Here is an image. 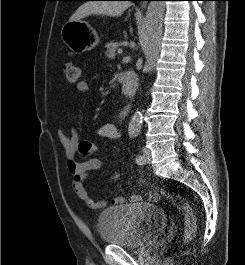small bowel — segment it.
Returning <instances> with one entry per match:
<instances>
[{"label":"small bowel","instance_id":"obj_1","mask_svg":"<svg viewBox=\"0 0 245 265\" xmlns=\"http://www.w3.org/2000/svg\"><path fill=\"white\" fill-rule=\"evenodd\" d=\"M78 92L85 93L89 91V85L86 81H79L76 84ZM97 136L109 140H115L120 137V132L117 126L113 123H104L96 130ZM58 138L61 146L67 157V168L72 176V188L74 193L79 199H81L88 207L92 209H100L106 206L105 200H94L88 193L85 187V179L87 175L101 168L102 163L97 158H92L86 161H77L75 156L77 152V146L79 142V133L76 129L71 128L69 133L64 130H58ZM118 173H114L111 177L112 181L117 180ZM146 199L150 202H156L160 196L155 191H148L145 195ZM143 200V197L139 194H133L130 197V202L136 203ZM125 202V198L122 196H116L112 199L113 205H121Z\"/></svg>","mask_w":245,"mask_h":265}]
</instances>
